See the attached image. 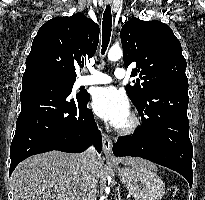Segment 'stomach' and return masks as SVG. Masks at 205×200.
<instances>
[{
  "label": "stomach",
  "mask_w": 205,
  "mask_h": 200,
  "mask_svg": "<svg viewBox=\"0 0 205 200\" xmlns=\"http://www.w3.org/2000/svg\"><path fill=\"white\" fill-rule=\"evenodd\" d=\"M116 172L135 200H161L165 194V184L148 165L117 167Z\"/></svg>",
  "instance_id": "stomach-1"
}]
</instances>
